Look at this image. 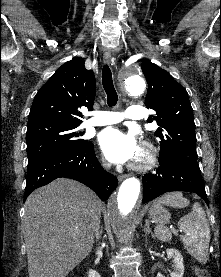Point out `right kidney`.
<instances>
[{
	"instance_id": "right-kidney-1",
	"label": "right kidney",
	"mask_w": 221,
	"mask_h": 277,
	"mask_svg": "<svg viewBox=\"0 0 221 277\" xmlns=\"http://www.w3.org/2000/svg\"><path fill=\"white\" fill-rule=\"evenodd\" d=\"M88 277H101V276L97 271L90 269L88 272Z\"/></svg>"
}]
</instances>
